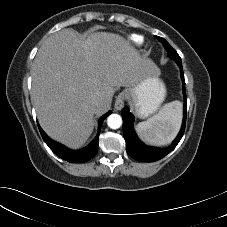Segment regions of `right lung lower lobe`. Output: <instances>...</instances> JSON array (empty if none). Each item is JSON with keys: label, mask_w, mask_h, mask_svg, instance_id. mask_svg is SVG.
<instances>
[{"label": "right lung lower lobe", "mask_w": 227, "mask_h": 227, "mask_svg": "<svg viewBox=\"0 0 227 227\" xmlns=\"http://www.w3.org/2000/svg\"><path fill=\"white\" fill-rule=\"evenodd\" d=\"M111 113L112 112L109 111L108 113H106L105 115H103L100 118L97 136L86 148H83L82 150H78V151H73L71 149H68L67 147L51 140L45 134V132L41 129V127L40 126H38V127H39L43 140L57 156H59L60 158L66 160L68 162L82 163V162H86V161L90 160L91 158H93L96 155V153L98 151V141H99L101 125H102L104 119Z\"/></svg>", "instance_id": "98d812e1"}]
</instances>
